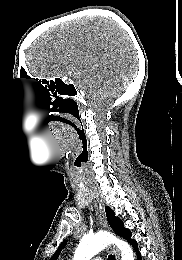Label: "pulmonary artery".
<instances>
[{"label": "pulmonary artery", "mask_w": 182, "mask_h": 260, "mask_svg": "<svg viewBox=\"0 0 182 260\" xmlns=\"http://www.w3.org/2000/svg\"><path fill=\"white\" fill-rule=\"evenodd\" d=\"M93 260H103V259L100 258V257H96V258H94Z\"/></svg>", "instance_id": "pulmonary-artery-1"}]
</instances>
